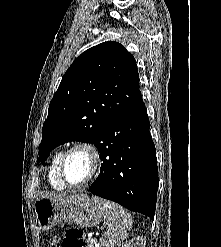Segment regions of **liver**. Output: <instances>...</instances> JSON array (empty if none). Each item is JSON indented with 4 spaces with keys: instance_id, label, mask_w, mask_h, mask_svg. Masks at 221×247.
<instances>
[{
    "instance_id": "1",
    "label": "liver",
    "mask_w": 221,
    "mask_h": 247,
    "mask_svg": "<svg viewBox=\"0 0 221 247\" xmlns=\"http://www.w3.org/2000/svg\"><path fill=\"white\" fill-rule=\"evenodd\" d=\"M48 197H51V198H52V197H65V195H63V194H59V195H56V196H55V195H54V196H53V195H50V196H48Z\"/></svg>"
}]
</instances>
